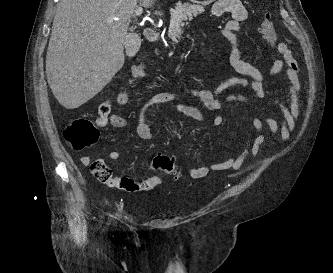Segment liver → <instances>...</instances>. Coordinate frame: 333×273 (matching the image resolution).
Returning a JSON list of instances; mask_svg holds the SVG:
<instances>
[{
  "mask_svg": "<svg viewBox=\"0 0 333 273\" xmlns=\"http://www.w3.org/2000/svg\"><path fill=\"white\" fill-rule=\"evenodd\" d=\"M155 0H60L46 56L52 93L66 109L97 95L124 64L130 16ZM116 19V20H115Z\"/></svg>",
  "mask_w": 333,
  "mask_h": 273,
  "instance_id": "1",
  "label": "liver"
}]
</instances>
